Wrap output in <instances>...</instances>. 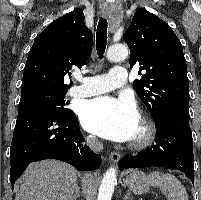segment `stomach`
<instances>
[{
	"instance_id": "stomach-1",
	"label": "stomach",
	"mask_w": 201,
	"mask_h": 200,
	"mask_svg": "<svg viewBox=\"0 0 201 200\" xmlns=\"http://www.w3.org/2000/svg\"><path fill=\"white\" fill-rule=\"evenodd\" d=\"M126 185L136 194H144L149 191L148 177L142 171H133L125 179Z\"/></svg>"
}]
</instances>
